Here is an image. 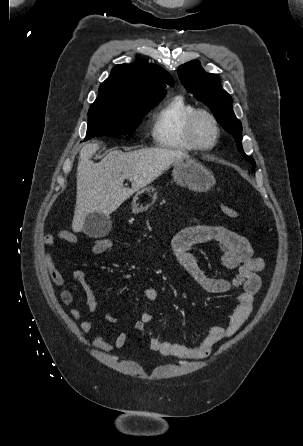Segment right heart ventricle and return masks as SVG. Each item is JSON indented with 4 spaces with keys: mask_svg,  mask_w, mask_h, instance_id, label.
<instances>
[{
    "mask_svg": "<svg viewBox=\"0 0 303 446\" xmlns=\"http://www.w3.org/2000/svg\"><path fill=\"white\" fill-rule=\"evenodd\" d=\"M194 109L183 95L167 100L153 119L151 134L155 145L170 150H194L185 136V123Z\"/></svg>",
    "mask_w": 303,
    "mask_h": 446,
    "instance_id": "1",
    "label": "right heart ventricle"
}]
</instances>
